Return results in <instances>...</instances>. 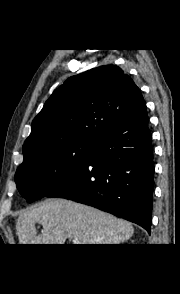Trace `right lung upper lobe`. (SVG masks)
<instances>
[{
    "mask_svg": "<svg viewBox=\"0 0 180 294\" xmlns=\"http://www.w3.org/2000/svg\"><path fill=\"white\" fill-rule=\"evenodd\" d=\"M144 102L139 88L117 66L105 65L70 77L33 120L23 145L24 160L45 147L95 142Z\"/></svg>",
    "mask_w": 180,
    "mask_h": 294,
    "instance_id": "1",
    "label": "right lung upper lobe"
}]
</instances>
